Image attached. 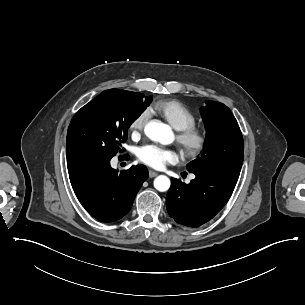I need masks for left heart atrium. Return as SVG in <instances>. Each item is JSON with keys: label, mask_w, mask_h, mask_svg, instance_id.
I'll use <instances>...</instances> for the list:
<instances>
[{"label": "left heart atrium", "mask_w": 305, "mask_h": 305, "mask_svg": "<svg viewBox=\"0 0 305 305\" xmlns=\"http://www.w3.org/2000/svg\"><path fill=\"white\" fill-rule=\"evenodd\" d=\"M136 155L140 162L153 168H159L166 163H173L178 160L175 149L152 143L138 147Z\"/></svg>", "instance_id": "obj_1"}]
</instances>
